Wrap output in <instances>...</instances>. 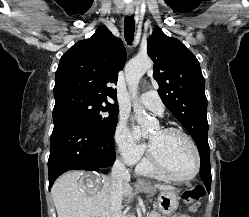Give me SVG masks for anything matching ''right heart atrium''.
<instances>
[{
    "label": "right heart atrium",
    "instance_id": "d8ad5b80",
    "mask_svg": "<svg viewBox=\"0 0 249 217\" xmlns=\"http://www.w3.org/2000/svg\"><path fill=\"white\" fill-rule=\"evenodd\" d=\"M114 143L119 156L129 165L138 162L145 152L143 145L135 143L131 130L124 119L118 122L114 133Z\"/></svg>",
    "mask_w": 249,
    "mask_h": 217
}]
</instances>
